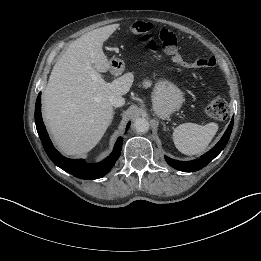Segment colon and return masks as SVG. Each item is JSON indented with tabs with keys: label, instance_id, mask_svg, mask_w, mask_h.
I'll list each match as a JSON object with an SVG mask.
<instances>
[{
	"label": "colon",
	"instance_id": "5ec220e1",
	"mask_svg": "<svg viewBox=\"0 0 261 261\" xmlns=\"http://www.w3.org/2000/svg\"><path fill=\"white\" fill-rule=\"evenodd\" d=\"M152 25L149 23L138 22L132 26L134 33L140 35V39L147 43L151 50L156 49V43L150 35ZM160 40L165 51L172 57L173 61L184 68L199 69L212 67L215 64L212 56H201L194 61H186L182 58L178 51L177 38L175 34L169 30L163 29L160 32ZM206 114L216 120H224L228 116V106L224 99L215 98L206 106Z\"/></svg>",
	"mask_w": 261,
	"mask_h": 261
}]
</instances>
